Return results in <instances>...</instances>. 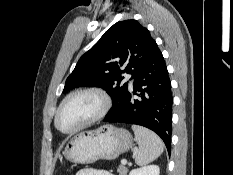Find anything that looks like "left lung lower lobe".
I'll use <instances>...</instances> for the list:
<instances>
[{"label": "left lung lower lobe", "instance_id": "left-lung-lower-lobe-1", "mask_svg": "<svg viewBox=\"0 0 233 175\" xmlns=\"http://www.w3.org/2000/svg\"><path fill=\"white\" fill-rule=\"evenodd\" d=\"M132 94L138 98H133ZM172 104L171 81L163 55L156 46L135 74L133 90L128 89L120 106L106 115L104 122L147 127L161 137L170 152Z\"/></svg>", "mask_w": 233, "mask_h": 175}]
</instances>
